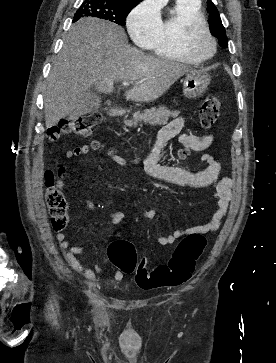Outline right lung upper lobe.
<instances>
[{"label":"right lung upper lobe","mask_w":276,"mask_h":363,"mask_svg":"<svg viewBox=\"0 0 276 363\" xmlns=\"http://www.w3.org/2000/svg\"><path fill=\"white\" fill-rule=\"evenodd\" d=\"M114 1H121V2H127V3H135V4H137L141 0H114Z\"/></svg>","instance_id":"1"}]
</instances>
